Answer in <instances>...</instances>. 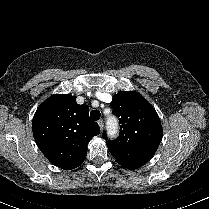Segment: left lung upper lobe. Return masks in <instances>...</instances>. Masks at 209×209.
I'll return each mask as SVG.
<instances>
[{"instance_id":"obj_1","label":"left lung upper lobe","mask_w":209,"mask_h":209,"mask_svg":"<svg viewBox=\"0 0 209 209\" xmlns=\"http://www.w3.org/2000/svg\"><path fill=\"white\" fill-rule=\"evenodd\" d=\"M111 107L121 123L118 139L107 147L122 166L145 165L156 152L163 129L155 109L136 91H121L113 96Z\"/></svg>"}]
</instances>
